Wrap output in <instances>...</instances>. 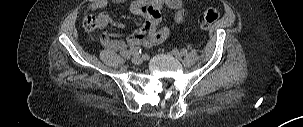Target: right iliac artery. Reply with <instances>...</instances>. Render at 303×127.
I'll return each mask as SVG.
<instances>
[{"label":"right iliac artery","instance_id":"1","mask_svg":"<svg viewBox=\"0 0 303 127\" xmlns=\"http://www.w3.org/2000/svg\"><path fill=\"white\" fill-rule=\"evenodd\" d=\"M142 49L140 47H133L128 51L129 55H139Z\"/></svg>","mask_w":303,"mask_h":127}]
</instances>
